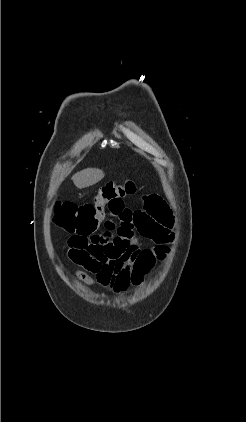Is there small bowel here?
Listing matches in <instances>:
<instances>
[{"label":"small bowel","instance_id":"obj_1","mask_svg":"<svg viewBox=\"0 0 246 422\" xmlns=\"http://www.w3.org/2000/svg\"><path fill=\"white\" fill-rule=\"evenodd\" d=\"M108 215L102 221V232L73 235L68 241L67 255L81 267L74 271L81 282L121 294L132 284L133 262L143 249L136 231L166 253V244L172 239L173 217L158 195L147 196L142 210L132 211L123 204L120 210L111 209Z\"/></svg>","mask_w":246,"mask_h":422}]
</instances>
